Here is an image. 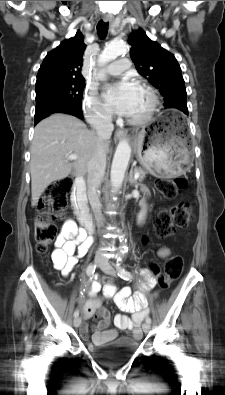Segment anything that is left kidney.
Wrapping results in <instances>:
<instances>
[{"mask_svg": "<svg viewBox=\"0 0 225 395\" xmlns=\"http://www.w3.org/2000/svg\"><path fill=\"white\" fill-rule=\"evenodd\" d=\"M140 206L142 207V209H141L140 213L138 214V223L143 222V220L145 219L146 210H147L145 200H142L140 202Z\"/></svg>", "mask_w": 225, "mask_h": 395, "instance_id": "left-kidney-1", "label": "left kidney"}]
</instances>
